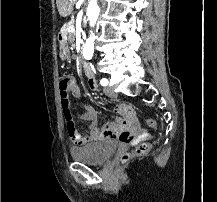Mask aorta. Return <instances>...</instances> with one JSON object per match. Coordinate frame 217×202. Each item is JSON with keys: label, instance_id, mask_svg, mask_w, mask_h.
<instances>
[{"label": "aorta", "instance_id": "aorta-1", "mask_svg": "<svg viewBox=\"0 0 217 202\" xmlns=\"http://www.w3.org/2000/svg\"><path fill=\"white\" fill-rule=\"evenodd\" d=\"M99 12L100 8L98 6L97 0H90V2H88V8L86 12L90 28H94L98 20ZM94 42L95 34H93V32H90V36L87 38L83 48V56L85 60H91L94 54Z\"/></svg>", "mask_w": 217, "mask_h": 202}]
</instances>
